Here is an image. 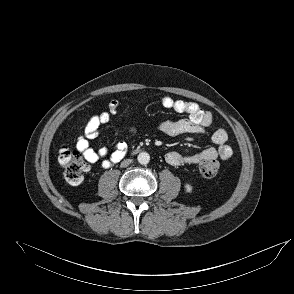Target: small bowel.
<instances>
[{
    "mask_svg": "<svg viewBox=\"0 0 294 294\" xmlns=\"http://www.w3.org/2000/svg\"><path fill=\"white\" fill-rule=\"evenodd\" d=\"M162 105L174 110L177 113H185L187 117L179 120H164L158 124V129L169 136H179L183 134H203L212 131L211 139L213 145L199 153L183 155L177 151H170L166 154L165 160L171 166L198 164L205 158H220L227 160L232 156V148L227 144L228 135L222 128L214 127V119L210 112L203 110L200 105L184 100H175L166 95L162 98ZM119 101L112 100L108 109L91 116L85 121L83 130L76 143L77 150L90 163L100 162L104 168H110L118 163L126 154L127 144L120 141L115 145L113 151L102 147L93 149L89 140L99 135L102 125L108 124L112 116L119 111Z\"/></svg>",
    "mask_w": 294,
    "mask_h": 294,
    "instance_id": "c3829d8e",
    "label": "small bowel"
}]
</instances>
